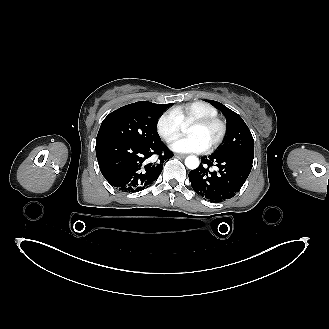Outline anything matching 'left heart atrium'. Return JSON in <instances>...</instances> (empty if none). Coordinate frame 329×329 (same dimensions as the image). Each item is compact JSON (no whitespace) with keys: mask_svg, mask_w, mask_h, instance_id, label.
<instances>
[{"mask_svg":"<svg viewBox=\"0 0 329 329\" xmlns=\"http://www.w3.org/2000/svg\"><path fill=\"white\" fill-rule=\"evenodd\" d=\"M170 148L176 152L199 153L205 151L207 146L197 135H189L172 142Z\"/></svg>","mask_w":329,"mask_h":329,"instance_id":"obj_1","label":"left heart atrium"}]
</instances>
